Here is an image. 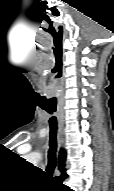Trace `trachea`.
<instances>
[{"instance_id": "3493384b", "label": "trachea", "mask_w": 114, "mask_h": 191, "mask_svg": "<svg viewBox=\"0 0 114 191\" xmlns=\"http://www.w3.org/2000/svg\"><path fill=\"white\" fill-rule=\"evenodd\" d=\"M49 114H53L56 109L52 108H43ZM49 126H50V140H49V151H48V165H47V172L52 174L56 167V150H57V119L55 116H52L49 119Z\"/></svg>"}]
</instances>
